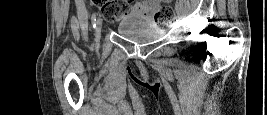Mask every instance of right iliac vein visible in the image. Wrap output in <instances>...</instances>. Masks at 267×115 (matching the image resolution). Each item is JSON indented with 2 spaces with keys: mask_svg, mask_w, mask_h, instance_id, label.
<instances>
[{
  "mask_svg": "<svg viewBox=\"0 0 267 115\" xmlns=\"http://www.w3.org/2000/svg\"><path fill=\"white\" fill-rule=\"evenodd\" d=\"M102 31V23L101 21H98L96 24V30H95V38L99 39Z\"/></svg>",
  "mask_w": 267,
  "mask_h": 115,
  "instance_id": "right-iliac-vein-1",
  "label": "right iliac vein"
}]
</instances>
